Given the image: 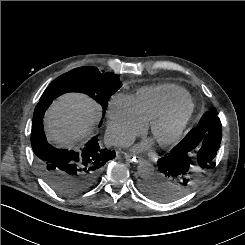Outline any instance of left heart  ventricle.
Instances as JSON below:
<instances>
[{
  "label": "left heart ventricle",
  "instance_id": "left-heart-ventricle-1",
  "mask_svg": "<svg viewBox=\"0 0 245 245\" xmlns=\"http://www.w3.org/2000/svg\"><path fill=\"white\" fill-rule=\"evenodd\" d=\"M175 121L160 126L157 130V137L161 139L168 137L174 128Z\"/></svg>",
  "mask_w": 245,
  "mask_h": 245
}]
</instances>
